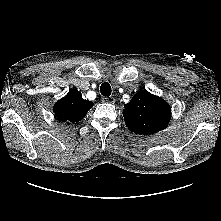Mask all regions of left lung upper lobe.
<instances>
[{"label":"left lung upper lobe","mask_w":221,"mask_h":221,"mask_svg":"<svg viewBox=\"0 0 221 221\" xmlns=\"http://www.w3.org/2000/svg\"><path fill=\"white\" fill-rule=\"evenodd\" d=\"M124 107L123 116L128 129L139 135L165 129L171 118L168 103L146 90L136 93Z\"/></svg>","instance_id":"5c2ea615"}]
</instances>
